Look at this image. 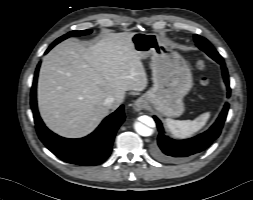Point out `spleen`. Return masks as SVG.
<instances>
[{"instance_id":"spleen-1","label":"spleen","mask_w":253,"mask_h":200,"mask_svg":"<svg viewBox=\"0 0 253 200\" xmlns=\"http://www.w3.org/2000/svg\"><path fill=\"white\" fill-rule=\"evenodd\" d=\"M210 118V112L203 113L194 120L166 119V126L175 138L191 137L199 132Z\"/></svg>"}]
</instances>
